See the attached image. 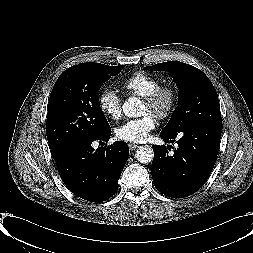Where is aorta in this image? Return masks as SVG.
I'll list each match as a JSON object with an SVG mask.
<instances>
[{"instance_id": "762f6f07", "label": "aorta", "mask_w": 253, "mask_h": 253, "mask_svg": "<svg viewBox=\"0 0 253 253\" xmlns=\"http://www.w3.org/2000/svg\"><path fill=\"white\" fill-rule=\"evenodd\" d=\"M123 113L127 117H138L141 116L142 103L136 97H130L123 106ZM135 157L140 163H150L153 160L154 152L153 149L149 146H141L136 151Z\"/></svg>"}]
</instances>
